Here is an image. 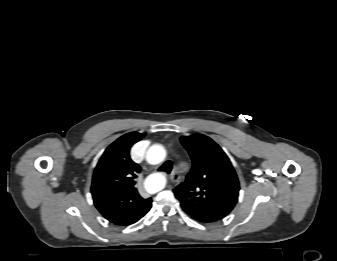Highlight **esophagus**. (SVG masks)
Masks as SVG:
<instances>
[{"label":"esophagus","mask_w":337,"mask_h":261,"mask_svg":"<svg viewBox=\"0 0 337 261\" xmlns=\"http://www.w3.org/2000/svg\"><path fill=\"white\" fill-rule=\"evenodd\" d=\"M170 179L173 183L178 182L179 176L177 175V173L175 171L172 172Z\"/></svg>","instance_id":"34e87169"}]
</instances>
